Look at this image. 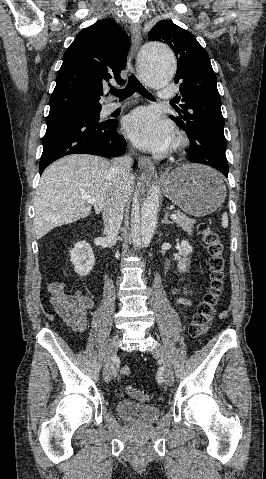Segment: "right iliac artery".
I'll use <instances>...</instances> for the list:
<instances>
[{
  "mask_svg": "<svg viewBox=\"0 0 266 479\" xmlns=\"http://www.w3.org/2000/svg\"><path fill=\"white\" fill-rule=\"evenodd\" d=\"M112 371H113V375L116 376V369H114V367L112 366Z\"/></svg>",
  "mask_w": 266,
  "mask_h": 479,
  "instance_id": "right-iliac-artery-1",
  "label": "right iliac artery"
}]
</instances>
